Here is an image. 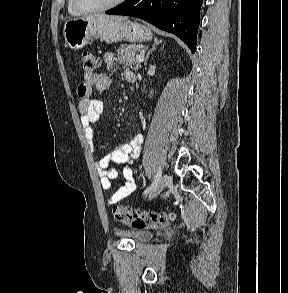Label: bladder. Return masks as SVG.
<instances>
[{
	"mask_svg": "<svg viewBox=\"0 0 288 293\" xmlns=\"http://www.w3.org/2000/svg\"><path fill=\"white\" fill-rule=\"evenodd\" d=\"M115 233L120 236L128 237L136 243L146 242L154 236V233L152 231L145 230V229H136V230L115 229Z\"/></svg>",
	"mask_w": 288,
	"mask_h": 293,
	"instance_id": "31cf9c89",
	"label": "bladder"
}]
</instances>
